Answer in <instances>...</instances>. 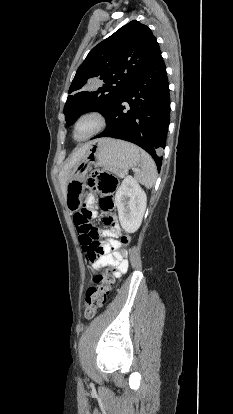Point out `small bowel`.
I'll use <instances>...</instances> for the list:
<instances>
[{
	"mask_svg": "<svg viewBox=\"0 0 233 414\" xmlns=\"http://www.w3.org/2000/svg\"><path fill=\"white\" fill-rule=\"evenodd\" d=\"M94 202V196L89 195L87 197L86 207L91 211V218L96 215L93 208ZM103 221L108 225V228L103 232V236L107 237L109 240L104 244V253L100 255L95 262H92V266L94 269H97L100 266L109 265L113 268V275L115 277H120L127 272L129 266L126 255L121 256L119 254L121 243L118 238L121 236L122 231L118 220L114 215L103 216Z\"/></svg>",
	"mask_w": 233,
	"mask_h": 414,
	"instance_id": "c3829d8e",
	"label": "small bowel"
}]
</instances>
